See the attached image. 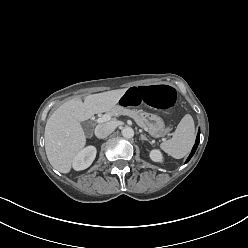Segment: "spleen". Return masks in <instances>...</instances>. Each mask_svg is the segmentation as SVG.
<instances>
[{
	"mask_svg": "<svg viewBox=\"0 0 248 248\" xmlns=\"http://www.w3.org/2000/svg\"><path fill=\"white\" fill-rule=\"evenodd\" d=\"M195 140V125L191 115L186 114L181 119L171 139L161 143V149L176 159L186 156Z\"/></svg>",
	"mask_w": 248,
	"mask_h": 248,
	"instance_id": "obj_1",
	"label": "spleen"
}]
</instances>
